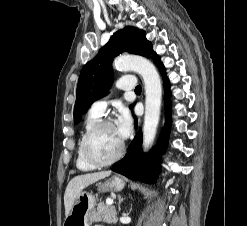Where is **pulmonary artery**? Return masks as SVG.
<instances>
[{
    "instance_id": "obj_1",
    "label": "pulmonary artery",
    "mask_w": 247,
    "mask_h": 226,
    "mask_svg": "<svg viewBox=\"0 0 247 226\" xmlns=\"http://www.w3.org/2000/svg\"><path fill=\"white\" fill-rule=\"evenodd\" d=\"M116 86L120 90H125V91L132 90L136 87V80L133 76L126 75L121 77L117 81ZM108 103H109L108 96L96 100L95 102H93L91 106V112L101 116L105 112Z\"/></svg>"
}]
</instances>
